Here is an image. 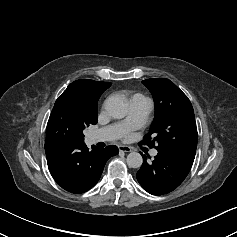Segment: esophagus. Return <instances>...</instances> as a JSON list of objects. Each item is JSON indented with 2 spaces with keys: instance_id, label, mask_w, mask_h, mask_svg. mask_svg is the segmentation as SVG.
Segmentation results:
<instances>
[{
  "instance_id": "esophagus-1",
  "label": "esophagus",
  "mask_w": 237,
  "mask_h": 237,
  "mask_svg": "<svg viewBox=\"0 0 237 237\" xmlns=\"http://www.w3.org/2000/svg\"><path fill=\"white\" fill-rule=\"evenodd\" d=\"M118 149H119L120 152H131L132 151L131 147H129V146H122V145H120L118 147Z\"/></svg>"
}]
</instances>
